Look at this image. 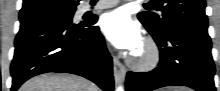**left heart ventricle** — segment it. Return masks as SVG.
<instances>
[{"label": "left heart ventricle", "instance_id": "obj_1", "mask_svg": "<svg viewBox=\"0 0 220 91\" xmlns=\"http://www.w3.org/2000/svg\"><path fill=\"white\" fill-rule=\"evenodd\" d=\"M142 52L141 47L136 51V53L140 54Z\"/></svg>", "mask_w": 220, "mask_h": 91}]
</instances>
